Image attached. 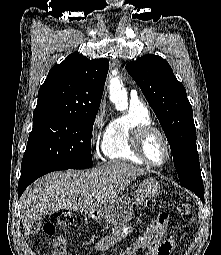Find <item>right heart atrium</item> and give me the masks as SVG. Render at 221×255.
<instances>
[{
	"label": "right heart atrium",
	"instance_id": "right-heart-atrium-1",
	"mask_svg": "<svg viewBox=\"0 0 221 255\" xmlns=\"http://www.w3.org/2000/svg\"><path fill=\"white\" fill-rule=\"evenodd\" d=\"M106 118H105V111L104 108H100L96 113L92 125H91V143L96 145L100 135L102 133L103 127L105 126Z\"/></svg>",
	"mask_w": 221,
	"mask_h": 255
}]
</instances>
